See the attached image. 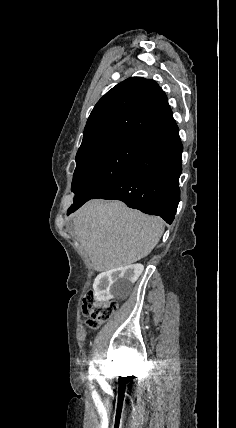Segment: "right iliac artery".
<instances>
[{
	"mask_svg": "<svg viewBox=\"0 0 236 428\" xmlns=\"http://www.w3.org/2000/svg\"><path fill=\"white\" fill-rule=\"evenodd\" d=\"M89 367V374H96L97 370L95 369V366L93 365V362H90Z\"/></svg>",
	"mask_w": 236,
	"mask_h": 428,
	"instance_id": "1",
	"label": "right iliac artery"
}]
</instances>
